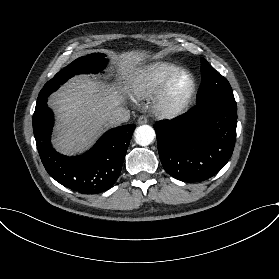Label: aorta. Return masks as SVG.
Here are the masks:
<instances>
[{"label": "aorta", "mask_w": 279, "mask_h": 279, "mask_svg": "<svg viewBox=\"0 0 279 279\" xmlns=\"http://www.w3.org/2000/svg\"><path fill=\"white\" fill-rule=\"evenodd\" d=\"M155 138V131L149 125L139 126L135 130V141L141 146H148Z\"/></svg>", "instance_id": "1"}]
</instances>
